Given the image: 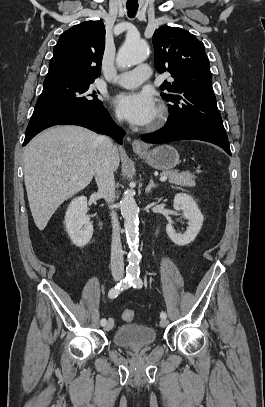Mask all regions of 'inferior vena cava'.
<instances>
[{"label": "inferior vena cava", "instance_id": "1", "mask_svg": "<svg viewBox=\"0 0 265 407\" xmlns=\"http://www.w3.org/2000/svg\"><path fill=\"white\" fill-rule=\"evenodd\" d=\"M99 149L95 165V180L98 193L108 202L115 199V181L113 159L116 147L107 136H99ZM112 242H111V271L115 278H122L124 274L123 250L120 240V226L117 215L111 212Z\"/></svg>", "mask_w": 265, "mask_h": 407}]
</instances>
